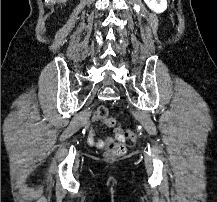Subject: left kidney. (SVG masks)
<instances>
[{
  "instance_id": "5707ae66",
  "label": "left kidney",
  "mask_w": 217,
  "mask_h": 202,
  "mask_svg": "<svg viewBox=\"0 0 217 202\" xmlns=\"http://www.w3.org/2000/svg\"><path fill=\"white\" fill-rule=\"evenodd\" d=\"M145 4H147L148 8L150 10H153V12H157V14H160V12H164L167 8V2L166 0H144Z\"/></svg>"
}]
</instances>
